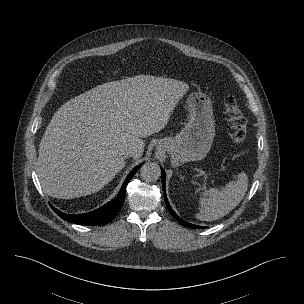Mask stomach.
<instances>
[{
  "label": "stomach",
  "mask_w": 304,
  "mask_h": 304,
  "mask_svg": "<svg viewBox=\"0 0 304 304\" xmlns=\"http://www.w3.org/2000/svg\"><path fill=\"white\" fill-rule=\"evenodd\" d=\"M189 120L175 137L161 139L157 147L171 155L174 165L202 160L209 152L215 136L212 102L201 92L187 98Z\"/></svg>",
  "instance_id": "1"
}]
</instances>
